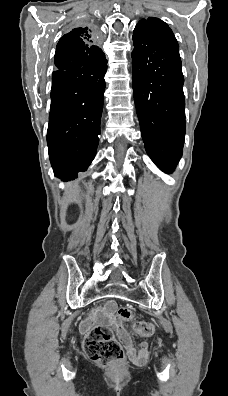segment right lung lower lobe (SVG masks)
Masks as SVG:
<instances>
[{"instance_id": "1", "label": "right lung lower lobe", "mask_w": 228, "mask_h": 396, "mask_svg": "<svg viewBox=\"0 0 228 396\" xmlns=\"http://www.w3.org/2000/svg\"><path fill=\"white\" fill-rule=\"evenodd\" d=\"M54 63L47 143L55 176L67 181L96 155L107 60L97 46H67L56 50Z\"/></svg>"}]
</instances>
